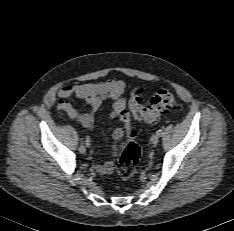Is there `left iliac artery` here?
<instances>
[{
  "label": "left iliac artery",
  "instance_id": "44dca946",
  "mask_svg": "<svg viewBox=\"0 0 234 231\" xmlns=\"http://www.w3.org/2000/svg\"><path fill=\"white\" fill-rule=\"evenodd\" d=\"M162 134H163L162 130H158V131H157V135H158V136H162Z\"/></svg>",
  "mask_w": 234,
  "mask_h": 231
}]
</instances>
